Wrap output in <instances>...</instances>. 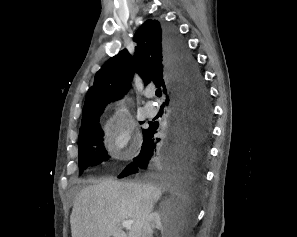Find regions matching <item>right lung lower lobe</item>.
<instances>
[{
    "label": "right lung lower lobe",
    "instance_id": "98d812e1",
    "mask_svg": "<svg viewBox=\"0 0 297 237\" xmlns=\"http://www.w3.org/2000/svg\"><path fill=\"white\" fill-rule=\"evenodd\" d=\"M165 56L172 84L165 104L169 117L162 139L159 124L150 123L141 152L118 178L144 171L152 178L189 172L203 174L208 156V118L211 110L201 75L184 39L171 25H163Z\"/></svg>",
    "mask_w": 297,
    "mask_h": 237
}]
</instances>
